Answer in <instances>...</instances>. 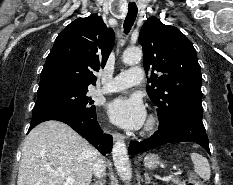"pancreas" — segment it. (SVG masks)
Returning a JSON list of instances; mask_svg holds the SVG:
<instances>
[{"label": "pancreas", "mask_w": 233, "mask_h": 185, "mask_svg": "<svg viewBox=\"0 0 233 185\" xmlns=\"http://www.w3.org/2000/svg\"><path fill=\"white\" fill-rule=\"evenodd\" d=\"M172 182L175 184V185H186L185 184V181H182L180 180L179 178H173Z\"/></svg>", "instance_id": "pancreas-1"}]
</instances>
